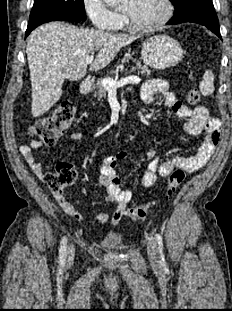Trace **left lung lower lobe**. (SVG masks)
Wrapping results in <instances>:
<instances>
[{
  "instance_id": "obj_1",
  "label": "left lung lower lobe",
  "mask_w": 232,
  "mask_h": 311,
  "mask_svg": "<svg viewBox=\"0 0 232 311\" xmlns=\"http://www.w3.org/2000/svg\"><path fill=\"white\" fill-rule=\"evenodd\" d=\"M184 22L204 25L221 38L219 22L212 0H188L185 5L175 10L174 16L167 24L175 25Z\"/></svg>"
}]
</instances>
